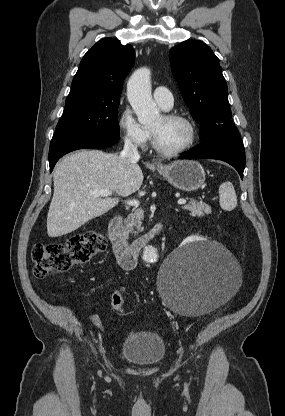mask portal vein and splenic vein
I'll list each match as a JSON object with an SVG mask.
<instances>
[{"mask_svg": "<svg viewBox=\"0 0 285 416\" xmlns=\"http://www.w3.org/2000/svg\"><path fill=\"white\" fill-rule=\"evenodd\" d=\"M91 196H104V198H107V196H112L113 192L111 190H91L90 192ZM128 206H136L138 208L139 202L138 200H129V202H126ZM177 204H186V200H178Z\"/></svg>", "mask_w": 285, "mask_h": 416, "instance_id": "portal-vein-and-splenic-vein-1", "label": "portal vein and splenic vein"}]
</instances>
